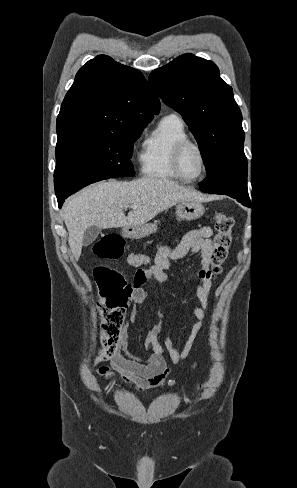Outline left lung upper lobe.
Returning <instances> with one entry per match:
<instances>
[{"mask_svg": "<svg viewBox=\"0 0 297 488\" xmlns=\"http://www.w3.org/2000/svg\"><path fill=\"white\" fill-rule=\"evenodd\" d=\"M149 82L182 115L197 140L207 171L199 189L249 200L242 114L218 67L183 54L154 70Z\"/></svg>", "mask_w": 297, "mask_h": 488, "instance_id": "5c2ea615", "label": "left lung upper lobe"}]
</instances>
